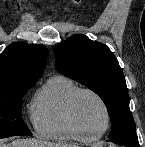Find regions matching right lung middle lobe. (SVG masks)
Returning <instances> with one entry per match:
<instances>
[{"label": "right lung middle lobe", "instance_id": "obj_1", "mask_svg": "<svg viewBox=\"0 0 145 147\" xmlns=\"http://www.w3.org/2000/svg\"><path fill=\"white\" fill-rule=\"evenodd\" d=\"M31 87H16L0 92V139L32 135L22 119V97Z\"/></svg>", "mask_w": 145, "mask_h": 147}]
</instances>
